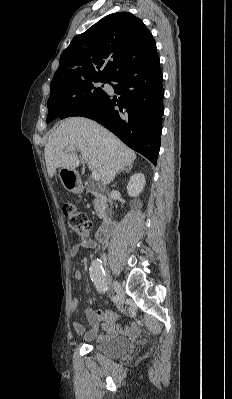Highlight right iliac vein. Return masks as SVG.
I'll use <instances>...</instances> for the list:
<instances>
[{
  "instance_id": "1",
  "label": "right iliac vein",
  "mask_w": 232,
  "mask_h": 399,
  "mask_svg": "<svg viewBox=\"0 0 232 399\" xmlns=\"http://www.w3.org/2000/svg\"><path fill=\"white\" fill-rule=\"evenodd\" d=\"M112 284L114 285V288L117 290V291H116V294L119 296L120 304H121V305H124V304H125V301H124V299H125V293H124V291H123V287L120 286L119 283H117L116 280H113V281H112Z\"/></svg>"
}]
</instances>
